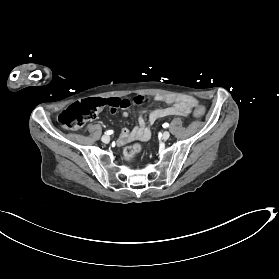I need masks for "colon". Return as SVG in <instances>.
Returning a JSON list of instances; mask_svg holds the SVG:
<instances>
[{"instance_id": "obj_1", "label": "colon", "mask_w": 279, "mask_h": 279, "mask_svg": "<svg viewBox=\"0 0 279 279\" xmlns=\"http://www.w3.org/2000/svg\"><path fill=\"white\" fill-rule=\"evenodd\" d=\"M148 102V98L142 95L134 98H94L75 103L65 110L59 116V123L66 129L76 130L83 127L87 122L93 120L96 115L106 106L112 108H128L135 104H144ZM194 116L202 118L205 114V109L201 105L194 104ZM140 151L139 145H134L126 149L125 158L130 160L135 154Z\"/></svg>"}]
</instances>
